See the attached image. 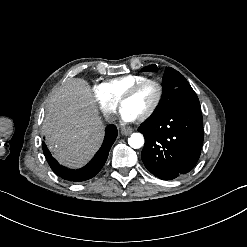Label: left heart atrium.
I'll return each instance as SVG.
<instances>
[{
	"label": "left heart atrium",
	"mask_w": 247,
	"mask_h": 247,
	"mask_svg": "<svg viewBox=\"0 0 247 247\" xmlns=\"http://www.w3.org/2000/svg\"><path fill=\"white\" fill-rule=\"evenodd\" d=\"M120 118L123 122L129 123V122H134L135 120H137L139 118V116L132 109L124 108V109H122V111L120 113Z\"/></svg>",
	"instance_id": "39dd6f15"
}]
</instances>
